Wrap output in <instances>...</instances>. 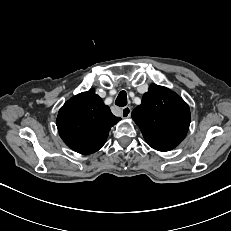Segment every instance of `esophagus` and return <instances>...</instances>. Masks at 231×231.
<instances>
[{"label":"esophagus","instance_id":"34e87169","mask_svg":"<svg viewBox=\"0 0 231 231\" xmlns=\"http://www.w3.org/2000/svg\"><path fill=\"white\" fill-rule=\"evenodd\" d=\"M131 115V107L130 106H125L121 110V116L122 118H128Z\"/></svg>","mask_w":231,"mask_h":231}]
</instances>
